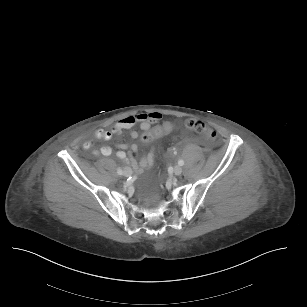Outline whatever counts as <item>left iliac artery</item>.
<instances>
[{"label": "left iliac artery", "instance_id": "obj_1", "mask_svg": "<svg viewBox=\"0 0 307 307\" xmlns=\"http://www.w3.org/2000/svg\"><path fill=\"white\" fill-rule=\"evenodd\" d=\"M178 164H179L180 166H183V165H184V160L180 159V160L178 161Z\"/></svg>", "mask_w": 307, "mask_h": 307}]
</instances>
